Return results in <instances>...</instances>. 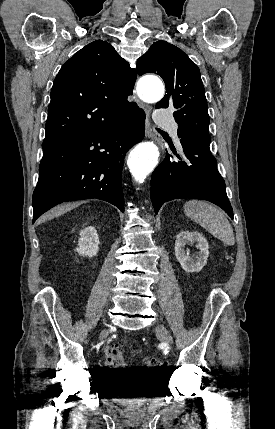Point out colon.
Instances as JSON below:
<instances>
[{
    "label": "colon",
    "instance_id": "colon-1",
    "mask_svg": "<svg viewBox=\"0 0 275 429\" xmlns=\"http://www.w3.org/2000/svg\"><path fill=\"white\" fill-rule=\"evenodd\" d=\"M108 364L111 368L115 369L119 374L126 372L124 364V345L121 343L112 346L107 357ZM149 369L158 370L163 366L162 361L157 357L148 358L145 362Z\"/></svg>",
    "mask_w": 275,
    "mask_h": 429
}]
</instances>
